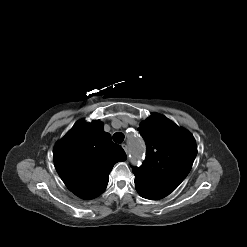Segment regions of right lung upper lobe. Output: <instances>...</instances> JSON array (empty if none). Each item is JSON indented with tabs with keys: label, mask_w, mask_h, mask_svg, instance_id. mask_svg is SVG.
I'll list each match as a JSON object with an SVG mask.
<instances>
[{
	"label": "right lung upper lobe",
	"mask_w": 247,
	"mask_h": 247,
	"mask_svg": "<svg viewBox=\"0 0 247 247\" xmlns=\"http://www.w3.org/2000/svg\"><path fill=\"white\" fill-rule=\"evenodd\" d=\"M53 158L68 189L82 199H93L106 189L114 164L127 157L99 120H80L57 142Z\"/></svg>",
	"instance_id": "obj_1"
}]
</instances>
